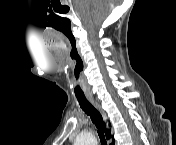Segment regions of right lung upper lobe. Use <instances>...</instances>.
Masks as SVG:
<instances>
[{"label": "right lung upper lobe", "mask_w": 176, "mask_h": 145, "mask_svg": "<svg viewBox=\"0 0 176 145\" xmlns=\"http://www.w3.org/2000/svg\"><path fill=\"white\" fill-rule=\"evenodd\" d=\"M106 137H107V139L111 138L110 131L106 132ZM112 140L114 142V138L113 137H112Z\"/></svg>", "instance_id": "right-lung-upper-lobe-1"}]
</instances>
